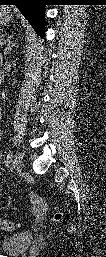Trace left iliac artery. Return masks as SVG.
<instances>
[{"mask_svg": "<svg viewBox=\"0 0 106 257\" xmlns=\"http://www.w3.org/2000/svg\"><path fill=\"white\" fill-rule=\"evenodd\" d=\"M13 155L11 153V151H9L7 158H6V163L7 165L12 161Z\"/></svg>", "mask_w": 106, "mask_h": 257, "instance_id": "1", "label": "left iliac artery"}]
</instances>
